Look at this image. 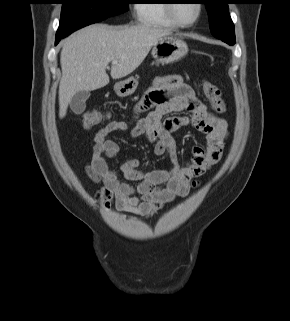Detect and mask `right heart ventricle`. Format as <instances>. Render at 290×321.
<instances>
[{
    "label": "right heart ventricle",
    "mask_w": 290,
    "mask_h": 321,
    "mask_svg": "<svg viewBox=\"0 0 290 321\" xmlns=\"http://www.w3.org/2000/svg\"><path fill=\"white\" fill-rule=\"evenodd\" d=\"M168 0H141L135 6L138 23L150 26L175 27L176 24L168 15Z\"/></svg>",
    "instance_id": "1"
}]
</instances>
